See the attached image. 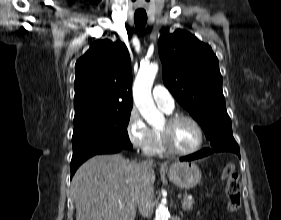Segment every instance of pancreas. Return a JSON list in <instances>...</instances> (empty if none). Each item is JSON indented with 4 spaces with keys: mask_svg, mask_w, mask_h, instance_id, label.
Segmentation results:
<instances>
[{
    "mask_svg": "<svg viewBox=\"0 0 281 220\" xmlns=\"http://www.w3.org/2000/svg\"><path fill=\"white\" fill-rule=\"evenodd\" d=\"M193 205H194V200L190 199L187 195H185L181 203V208L184 211H190Z\"/></svg>",
    "mask_w": 281,
    "mask_h": 220,
    "instance_id": "1",
    "label": "pancreas"
}]
</instances>
